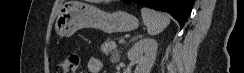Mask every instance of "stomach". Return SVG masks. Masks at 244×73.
Returning <instances> with one entry per match:
<instances>
[{
    "mask_svg": "<svg viewBox=\"0 0 244 73\" xmlns=\"http://www.w3.org/2000/svg\"><path fill=\"white\" fill-rule=\"evenodd\" d=\"M138 19L127 12H106L93 5L71 0L60 9L55 32L59 37H69L81 28H95L105 33H125L135 30Z\"/></svg>",
    "mask_w": 244,
    "mask_h": 73,
    "instance_id": "stomach-1",
    "label": "stomach"
}]
</instances>
